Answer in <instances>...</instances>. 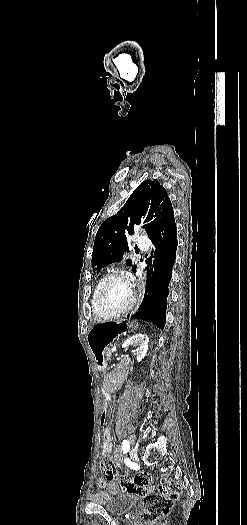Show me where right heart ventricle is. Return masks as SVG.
<instances>
[{
  "instance_id": "e07e8e85",
  "label": "right heart ventricle",
  "mask_w": 247,
  "mask_h": 525,
  "mask_svg": "<svg viewBox=\"0 0 247 525\" xmlns=\"http://www.w3.org/2000/svg\"><path fill=\"white\" fill-rule=\"evenodd\" d=\"M106 276L103 275L99 282L101 280H103ZM95 291V290H94ZM90 303H91V307H92V312H93V317H111L105 313H103L99 308H98V305L100 304V300L97 299L94 295V292L92 293L91 295V300H90Z\"/></svg>"
}]
</instances>
